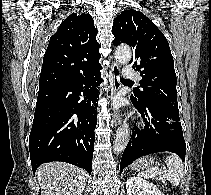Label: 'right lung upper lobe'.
Masks as SVG:
<instances>
[{"mask_svg":"<svg viewBox=\"0 0 211 195\" xmlns=\"http://www.w3.org/2000/svg\"><path fill=\"white\" fill-rule=\"evenodd\" d=\"M97 29L89 14H71L50 38L44 54L39 89L92 74L99 63Z\"/></svg>","mask_w":211,"mask_h":195,"instance_id":"cb5924a9","label":"right lung upper lobe"}]
</instances>
